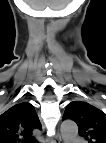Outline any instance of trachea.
<instances>
[{
    "mask_svg": "<svg viewBox=\"0 0 106 143\" xmlns=\"http://www.w3.org/2000/svg\"><path fill=\"white\" fill-rule=\"evenodd\" d=\"M28 142H30V143H34L35 142V140L33 139V138H28V139H26Z\"/></svg>",
    "mask_w": 106,
    "mask_h": 143,
    "instance_id": "trachea-1",
    "label": "trachea"
}]
</instances>
